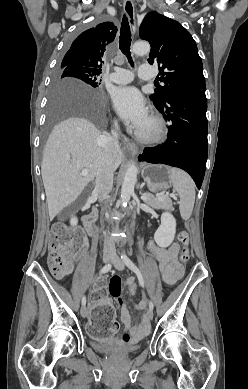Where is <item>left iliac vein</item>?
I'll use <instances>...</instances> for the list:
<instances>
[{"instance_id":"obj_1","label":"left iliac vein","mask_w":248,"mask_h":389,"mask_svg":"<svg viewBox=\"0 0 248 389\" xmlns=\"http://www.w3.org/2000/svg\"><path fill=\"white\" fill-rule=\"evenodd\" d=\"M112 263H113L114 267H115L117 270H120V271H121V270L124 269V264H123V262H122V260L120 259L119 256L114 255V256L112 257ZM147 318H148L149 320H152V319H153V310L149 309V310L147 311Z\"/></svg>"}]
</instances>
